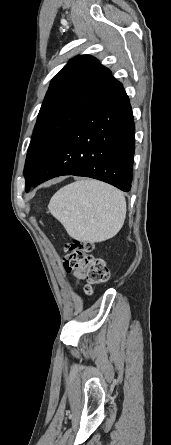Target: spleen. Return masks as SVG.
I'll list each match as a JSON object with an SVG mask.
<instances>
[{
	"label": "spleen",
	"mask_w": 171,
	"mask_h": 445,
	"mask_svg": "<svg viewBox=\"0 0 171 445\" xmlns=\"http://www.w3.org/2000/svg\"><path fill=\"white\" fill-rule=\"evenodd\" d=\"M48 209L72 238L102 242L114 237L122 228L126 200L113 186L82 179L58 190Z\"/></svg>",
	"instance_id": "3e777b00"
}]
</instances>
